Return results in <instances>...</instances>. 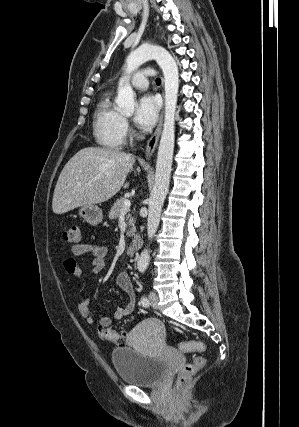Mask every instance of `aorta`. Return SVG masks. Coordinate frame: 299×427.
I'll use <instances>...</instances> for the list:
<instances>
[{"label": "aorta", "instance_id": "aorta-1", "mask_svg": "<svg viewBox=\"0 0 299 427\" xmlns=\"http://www.w3.org/2000/svg\"><path fill=\"white\" fill-rule=\"evenodd\" d=\"M156 60L163 71L165 88V115L161 140L158 148L155 182L149 199L147 235L152 240L160 222L162 206L168 193L175 142V111L179 89L178 67L171 54L160 46L142 45L132 51L126 59V76L118 87L116 104L125 112L135 108V93L129 84V75L148 60ZM150 251L144 249L139 256L137 267L145 270L149 265Z\"/></svg>", "mask_w": 299, "mask_h": 427}]
</instances>
